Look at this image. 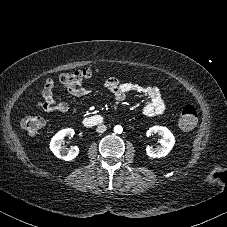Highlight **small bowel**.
Masks as SVG:
<instances>
[{
    "label": "small bowel",
    "instance_id": "c3829d8e",
    "mask_svg": "<svg viewBox=\"0 0 227 227\" xmlns=\"http://www.w3.org/2000/svg\"><path fill=\"white\" fill-rule=\"evenodd\" d=\"M105 88L112 94L116 101L124 99L128 93H136L145 98L143 111L147 116L155 117L161 115L165 111V102L162 98L161 91L153 85H139L133 82H120L116 77H110L105 81ZM55 82L53 79H47L43 89V100L38 103V108L45 112L56 111L66 114L69 111L76 112V108H70L67 102L59 101L54 96ZM69 93L76 97L85 96L91 93V89L80 87L70 90Z\"/></svg>",
    "mask_w": 227,
    "mask_h": 227
}]
</instances>
